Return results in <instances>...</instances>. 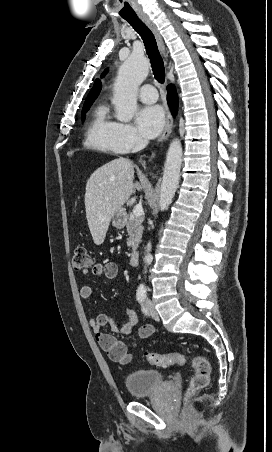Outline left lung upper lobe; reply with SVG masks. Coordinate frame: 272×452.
<instances>
[{
  "mask_svg": "<svg viewBox=\"0 0 272 452\" xmlns=\"http://www.w3.org/2000/svg\"><path fill=\"white\" fill-rule=\"evenodd\" d=\"M106 72H107V70L104 71V73L102 74V77L105 75Z\"/></svg>",
  "mask_w": 272,
  "mask_h": 452,
  "instance_id": "obj_1",
  "label": "left lung upper lobe"
}]
</instances>
